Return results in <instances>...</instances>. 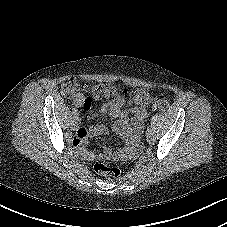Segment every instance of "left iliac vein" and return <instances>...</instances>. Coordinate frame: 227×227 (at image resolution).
Segmentation results:
<instances>
[{
	"instance_id": "1",
	"label": "left iliac vein",
	"mask_w": 227,
	"mask_h": 227,
	"mask_svg": "<svg viewBox=\"0 0 227 227\" xmlns=\"http://www.w3.org/2000/svg\"><path fill=\"white\" fill-rule=\"evenodd\" d=\"M146 137H147V142L150 143V144L155 141L154 135L152 133H148L146 135Z\"/></svg>"
}]
</instances>
